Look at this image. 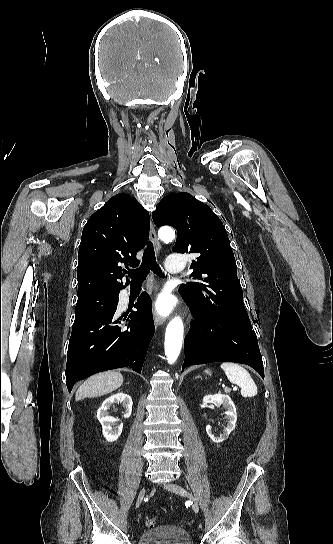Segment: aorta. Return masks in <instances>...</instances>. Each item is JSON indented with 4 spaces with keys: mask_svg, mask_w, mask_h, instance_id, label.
I'll list each match as a JSON object with an SVG mask.
<instances>
[{
    "mask_svg": "<svg viewBox=\"0 0 333 544\" xmlns=\"http://www.w3.org/2000/svg\"><path fill=\"white\" fill-rule=\"evenodd\" d=\"M159 238L164 242H171L175 238V232L170 227H162L158 232ZM184 326L180 317L173 318L166 328L165 355L168 363L173 364L181 351Z\"/></svg>",
    "mask_w": 333,
    "mask_h": 544,
    "instance_id": "762f6f07",
    "label": "aorta"
}]
</instances>
